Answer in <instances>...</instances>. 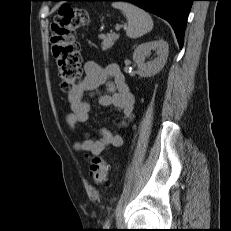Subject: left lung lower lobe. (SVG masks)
<instances>
[{
	"label": "left lung lower lobe",
	"mask_w": 231,
	"mask_h": 231,
	"mask_svg": "<svg viewBox=\"0 0 231 231\" xmlns=\"http://www.w3.org/2000/svg\"><path fill=\"white\" fill-rule=\"evenodd\" d=\"M60 1V0H54ZM88 1H127L153 13L170 23L182 47L187 17L194 0H88Z\"/></svg>",
	"instance_id": "0a47b994"
}]
</instances>
